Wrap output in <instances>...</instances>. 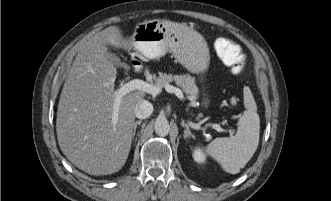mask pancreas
I'll use <instances>...</instances> for the list:
<instances>
[{
	"instance_id": "pancreas-1",
	"label": "pancreas",
	"mask_w": 331,
	"mask_h": 201,
	"mask_svg": "<svg viewBox=\"0 0 331 201\" xmlns=\"http://www.w3.org/2000/svg\"><path fill=\"white\" fill-rule=\"evenodd\" d=\"M171 82H175V84L181 87L187 95L195 97V95L198 93V87L194 78L188 74L173 75L160 73L159 76L155 78V85L161 88H164Z\"/></svg>"
}]
</instances>
